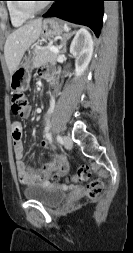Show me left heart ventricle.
Listing matches in <instances>:
<instances>
[{
  "label": "left heart ventricle",
  "mask_w": 133,
  "mask_h": 253,
  "mask_svg": "<svg viewBox=\"0 0 133 253\" xmlns=\"http://www.w3.org/2000/svg\"><path fill=\"white\" fill-rule=\"evenodd\" d=\"M41 4H43V2H40V1L27 3V5L30 6V7H32V8L38 7Z\"/></svg>",
  "instance_id": "b2bd125f"
}]
</instances>
